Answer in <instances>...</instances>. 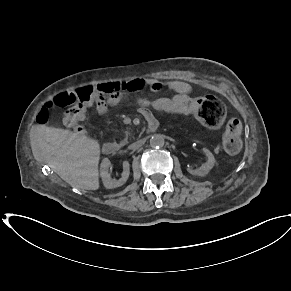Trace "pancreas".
I'll return each mask as SVG.
<instances>
[{
	"label": "pancreas",
	"instance_id": "obj_1",
	"mask_svg": "<svg viewBox=\"0 0 291 291\" xmlns=\"http://www.w3.org/2000/svg\"><path fill=\"white\" fill-rule=\"evenodd\" d=\"M127 142V138H125L124 140H123V143H126Z\"/></svg>",
	"mask_w": 291,
	"mask_h": 291
}]
</instances>
